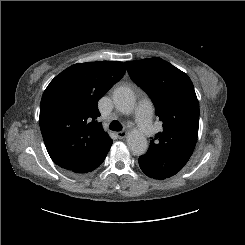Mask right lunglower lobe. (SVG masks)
Masks as SVG:
<instances>
[{
    "instance_id": "1",
    "label": "right lung lower lobe",
    "mask_w": 245,
    "mask_h": 245,
    "mask_svg": "<svg viewBox=\"0 0 245 245\" xmlns=\"http://www.w3.org/2000/svg\"><path fill=\"white\" fill-rule=\"evenodd\" d=\"M112 142L113 140L109 139L99 149H97L96 152L84 164L73 170H70L69 172L80 175L95 170L106 158Z\"/></svg>"
}]
</instances>
